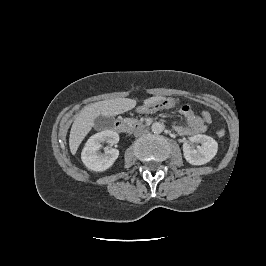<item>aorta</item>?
I'll return each mask as SVG.
<instances>
[{"mask_svg": "<svg viewBox=\"0 0 266 266\" xmlns=\"http://www.w3.org/2000/svg\"><path fill=\"white\" fill-rule=\"evenodd\" d=\"M151 130L153 133L159 134L164 130V125L160 122H155L152 124Z\"/></svg>", "mask_w": 266, "mask_h": 266, "instance_id": "762f6f07", "label": "aorta"}]
</instances>
